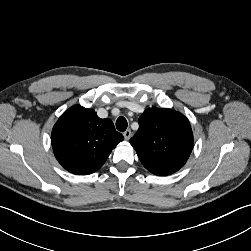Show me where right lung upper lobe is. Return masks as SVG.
<instances>
[{
	"label": "right lung upper lobe",
	"instance_id": "cb5924a9",
	"mask_svg": "<svg viewBox=\"0 0 251 251\" xmlns=\"http://www.w3.org/2000/svg\"><path fill=\"white\" fill-rule=\"evenodd\" d=\"M123 139L111 119H101L94 110L80 105L72 106L60 116L51 135L58 162L78 175L97 171Z\"/></svg>",
	"mask_w": 251,
	"mask_h": 251
}]
</instances>
